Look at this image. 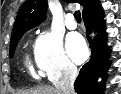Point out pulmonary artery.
<instances>
[{"label":"pulmonary artery","mask_w":121,"mask_h":94,"mask_svg":"<svg viewBox=\"0 0 121 94\" xmlns=\"http://www.w3.org/2000/svg\"><path fill=\"white\" fill-rule=\"evenodd\" d=\"M65 24H66V27L68 29H70V30L76 29L77 23H76V21H75L74 16H73L72 13H68L66 15V22H65Z\"/></svg>","instance_id":"1"}]
</instances>
